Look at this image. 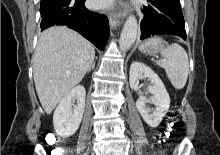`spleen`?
<instances>
[{
	"label": "spleen",
	"mask_w": 220,
	"mask_h": 155,
	"mask_svg": "<svg viewBox=\"0 0 220 155\" xmlns=\"http://www.w3.org/2000/svg\"><path fill=\"white\" fill-rule=\"evenodd\" d=\"M163 60H158V66L164 68L172 86L181 90L184 88L188 73L189 59L186 51L178 43H173L161 50Z\"/></svg>",
	"instance_id": "1"
}]
</instances>
